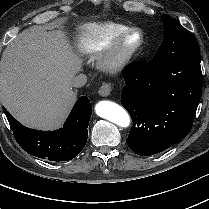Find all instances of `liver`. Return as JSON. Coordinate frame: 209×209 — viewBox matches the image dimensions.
Instances as JSON below:
<instances>
[{
	"instance_id": "obj_1",
	"label": "liver",
	"mask_w": 209,
	"mask_h": 209,
	"mask_svg": "<svg viewBox=\"0 0 209 209\" xmlns=\"http://www.w3.org/2000/svg\"><path fill=\"white\" fill-rule=\"evenodd\" d=\"M81 67L62 31L26 29L3 52L1 102L26 126L59 128L76 100L71 82Z\"/></svg>"
}]
</instances>
